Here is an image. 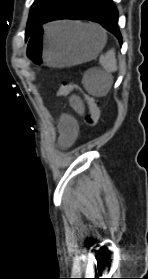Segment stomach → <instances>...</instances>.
Here are the masks:
<instances>
[{
    "mask_svg": "<svg viewBox=\"0 0 148 279\" xmlns=\"http://www.w3.org/2000/svg\"><path fill=\"white\" fill-rule=\"evenodd\" d=\"M40 28L46 29L45 33L30 34V39L38 40L27 44V49L33 50H26V55L28 63L42 69H71L97 57L106 43V35L98 26L88 31L79 24L59 22L41 24ZM56 28L59 31H50Z\"/></svg>",
    "mask_w": 148,
    "mask_h": 279,
    "instance_id": "1",
    "label": "stomach"
}]
</instances>
